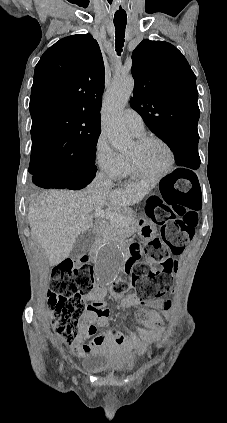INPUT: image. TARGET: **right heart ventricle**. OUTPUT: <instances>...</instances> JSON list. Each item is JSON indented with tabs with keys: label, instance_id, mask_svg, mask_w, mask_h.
Returning <instances> with one entry per match:
<instances>
[{
	"label": "right heart ventricle",
	"instance_id": "right-heart-ventricle-1",
	"mask_svg": "<svg viewBox=\"0 0 227 423\" xmlns=\"http://www.w3.org/2000/svg\"><path fill=\"white\" fill-rule=\"evenodd\" d=\"M142 135H139V137ZM126 158V157H125ZM126 173H130V165H129V161L128 158H126Z\"/></svg>",
	"mask_w": 227,
	"mask_h": 423
}]
</instances>
